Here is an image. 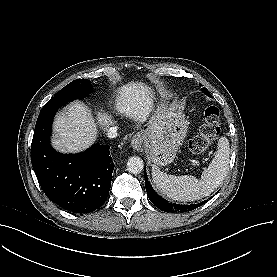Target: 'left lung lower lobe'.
I'll use <instances>...</instances> for the list:
<instances>
[{"label": "left lung lower lobe", "mask_w": 277, "mask_h": 277, "mask_svg": "<svg viewBox=\"0 0 277 277\" xmlns=\"http://www.w3.org/2000/svg\"><path fill=\"white\" fill-rule=\"evenodd\" d=\"M145 175V187L146 191L148 194V197L150 201L160 210H163L165 212H175V211H180V212H186V211H191L193 209H196L199 207L201 204H203L205 201L201 202L200 204H192V205H178V204H172L161 198L152 188L150 185L146 171L144 173Z\"/></svg>", "instance_id": "obj_1"}]
</instances>
